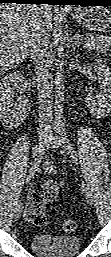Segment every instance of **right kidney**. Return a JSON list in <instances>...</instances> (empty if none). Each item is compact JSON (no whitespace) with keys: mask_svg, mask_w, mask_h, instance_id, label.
<instances>
[{"mask_svg":"<svg viewBox=\"0 0 111 257\" xmlns=\"http://www.w3.org/2000/svg\"><path fill=\"white\" fill-rule=\"evenodd\" d=\"M25 82V76L20 71H15L7 74L1 79L0 83V111L1 121L3 123H9L13 121L16 114H20L21 109L25 111L28 107V99L26 97H19L14 102V92L17 88H20V84Z\"/></svg>","mask_w":111,"mask_h":257,"instance_id":"1","label":"right kidney"}]
</instances>
